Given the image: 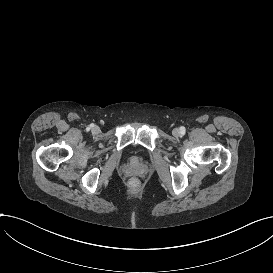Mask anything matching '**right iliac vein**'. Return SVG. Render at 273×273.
<instances>
[{
  "instance_id": "obj_1",
  "label": "right iliac vein",
  "mask_w": 273,
  "mask_h": 273,
  "mask_svg": "<svg viewBox=\"0 0 273 273\" xmlns=\"http://www.w3.org/2000/svg\"><path fill=\"white\" fill-rule=\"evenodd\" d=\"M92 131H93L94 133H97V132H98V129H97L96 127H94V128L92 129Z\"/></svg>"
}]
</instances>
